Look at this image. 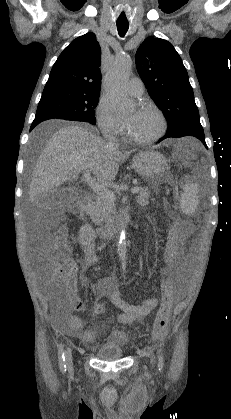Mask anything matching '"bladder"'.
Returning a JSON list of instances; mask_svg holds the SVG:
<instances>
[{
    "label": "bladder",
    "instance_id": "1",
    "mask_svg": "<svg viewBox=\"0 0 231 419\" xmlns=\"http://www.w3.org/2000/svg\"><path fill=\"white\" fill-rule=\"evenodd\" d=\"M124 348L115 341L102 343L96 351V358L103 361H116L124 358Z\"/></svg>",
    "mask_w": 231,
    "mask_h": 419
}]
</instances>
